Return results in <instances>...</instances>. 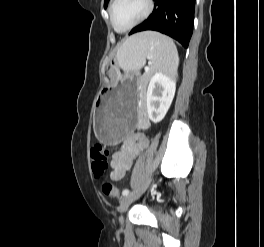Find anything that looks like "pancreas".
<instances>
[{
  "instance_id": "1",
  "label": "pancreas",
  "mask_w": 264,
  "mask_h": 247,
  "mask_svg": "<svg viewBox=\"0 0 264 247\" xmlns=\"http://www.w3.org/2000/svg\"><path fill=\"white\" fill-rule=\"evenodd\" d=\"M144 79L147 80V79H148V75H145V76H144Z\"/></svg>"
}]
</instances>
